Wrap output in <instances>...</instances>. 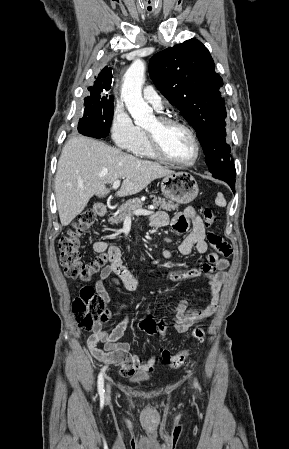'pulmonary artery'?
<instances>
[{
    "label": "pulmonary artery",
    "mask_w": 289,
    "mask_h": 449,
    "mask_svg": "<svg viewBox=\"0 0 289 449\" xmlns=\"http://www.w3.org/2000/svg\"><path fill=\"white\" fill-rule=\"evenodd\" d=\"M143 97L157 111H161L163 109L162 99L152 86L149 85L143 89Z\"/></svg>",
    "instance_id": "e3ab8cb5"
}]
</instances>
